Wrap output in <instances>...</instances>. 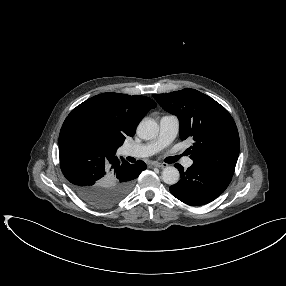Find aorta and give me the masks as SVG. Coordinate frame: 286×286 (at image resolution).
I'll return each mask as SVG.
<instances>
[{
	"mask_svg": "<svg viewBox=\"0 0 286 286\" xmlns=\"http://www.w3.org/2000/svg\"><path fill=\"white\" fill-rule=\"evenodd\" d=\"M158 132L159 126L157 122L150 118L143 119L137 127L139 137L145 140L155 138L158 135ZM179 178V171L173 166L165 167L162 171V180L168 185L176 184L179 181Z\"/></svg>",
	"mask_w": 286,
	"mask_h": 286,
	"instance_id": "1",
	"label": "aorta"
}]
</instances>
